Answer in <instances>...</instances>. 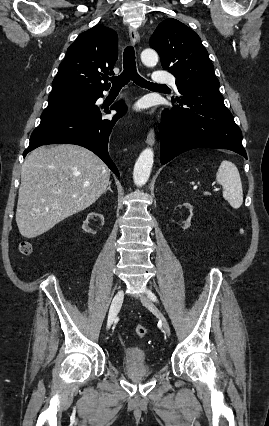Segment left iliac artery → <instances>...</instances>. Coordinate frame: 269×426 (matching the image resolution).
I'll list each match as a JSON object with an SVG mask.
<instances>
[{"instance_id": "1", "label": "left iliac artery", "mask_w": 269, "mask_h": 426, "mask_svg": "<svg viewBox=\"0 0 269 426\" xmlns=\"http://www.w3.org/2000/svg\"><path fill=\"white\" fill-rule=\"evenodd\" d=\"M148 297L151 299V300H153V301H156V297H155V295L152 293V292H148Z\"/></svg>"}]
</instances>
